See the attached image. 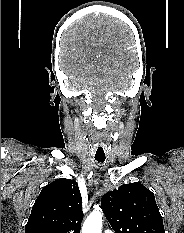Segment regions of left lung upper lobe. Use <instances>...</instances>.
<instances>
[{
	"label": "left lung upper lobe",
	"instance_id": "obj_1",
	"mask_svg": "<svg viewBox=\"0 0 184 233\" xmlns=\"http://www.w3.org/2000/svg\"><path fill=\"white\" fill-rule=\"evenodd\" d=\"M101 206L116 233H165L154 194L139 182L107 192Z\"/></svg>",
	"mask_w": 184,
	"mask_h": 233
}]
</instances>
